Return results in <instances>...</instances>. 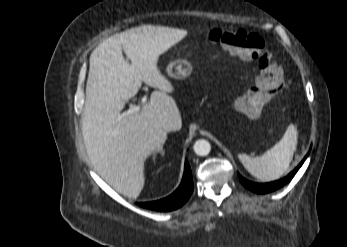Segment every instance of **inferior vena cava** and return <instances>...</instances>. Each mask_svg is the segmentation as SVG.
I'll use <instances>...</instances> for the list:
<instances>
[{"instance_id": "inferior-vena-cava-1", "label": "inferior vena cava", "mask_w": 347, "mask_h": 247, "mask_svg": "<svg viewBox=\"0 0 347 247\" xmlns=\"http://www.w3.org/2000/svg\"><path fill=\"white\" fill-rule=\"evenodd\" d=\"M161 125L166 132L174 131L176 128V124L173 120H164Z\"/></svg>"}]
</instances>
